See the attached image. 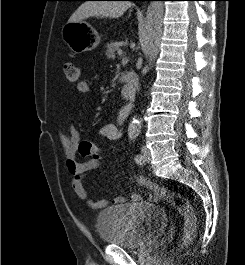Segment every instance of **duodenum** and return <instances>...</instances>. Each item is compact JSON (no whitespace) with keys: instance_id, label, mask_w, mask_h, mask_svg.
Returning a JSON list of instances; mask_svg holds the SVG:
<instances>
[{"instance_id":"obj_1","label":"duodenum","mask_w":245,"mask_h":265,"mask_svg":"<svg viewBox=\"0 0 245 265\" xmlns=\"http://www.w3.org/2000/svg\"><path fill=\"white\" fill-rule=\"evenodd\" d=\"M123 83V95L130 101L134 100L138 91V77L133 71H125L120 75Z\"/></svg>"}]
</instances>
